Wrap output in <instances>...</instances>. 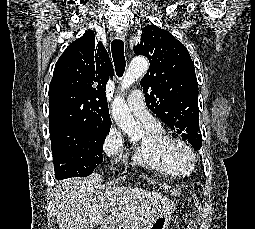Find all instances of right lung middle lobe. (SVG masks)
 <instances>
[{"label": "right lung middle lobe", "instance_id": "1", "mask_svg": "<svg viewBox=\"0 0 255 229\" xmlns=\"http://www.w3.org/2000/svg\"><path fill=\"white\" fill-rule=\"evenodd\" d=\"M109 127H50L55 177H85L103 161Z\"/></svg>", "mask_w": 255, "mask_h": 229}]
</instances>
